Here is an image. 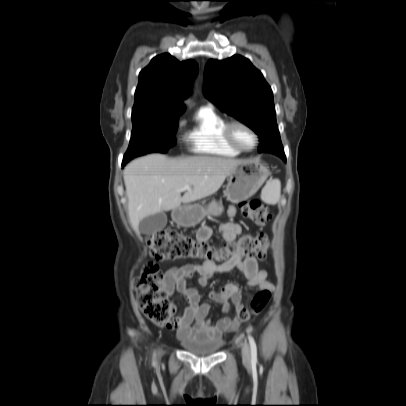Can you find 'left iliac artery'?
<instances>
[{"label": "left iliac artery", "mask_w": 406, "mask_h": 406, "mask_svg": "<svg viewBox=\"0 0 406 406\" xmlns=\"http://www.w3.org/2000/svg\"><path fill=\"white\" fill-rule=\"evenodd\" d=\"M248 339H249V344H250V348H251V360L253 363H256L257 362V346H256L254 338L251 335L248 336Z\"/></svg>", "instance_id": "1"}]
</instances>
